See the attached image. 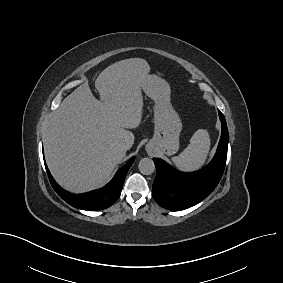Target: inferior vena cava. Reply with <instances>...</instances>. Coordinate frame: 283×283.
I'll return each mask as SVG.
<instances>
[{"mask_svg":"<svg viewBox=\"0 0 283 283\" xmlns=\"http://www.w3.org/2000/svg\"><path fill=\"white\" fill-rule=\"evenodd\" d=\"M122 147H123L124 149L128 150V149L130 148V145H129L128 143L124 142V143L122 144Z\"/></svg>","mask_w":283,"mask_h":283,"instance_id":"obj_1","label":"inferior vena cava"}]
</instances>
